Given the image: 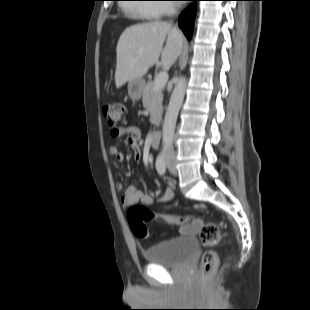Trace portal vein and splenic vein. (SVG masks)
I'll return each instance as SVG.
<instances>
[{
  "label": "portal vein and splenic vein",
  "mask_w": 310,
  "mask_h": 310,
  "mask_svg": "<svg viewBox=\"0 0 310 310\" xmlns=\"http://www.w3.org/2000/svg\"><path fill=\"white\" fill-rule=\"evenodd\" d=\"M167 81H168V73L165 71L160 72L155 78L153 86L154 90H161L166 85Z\"/></svg>",
  "instance_id": "1"
}]
</instances>
